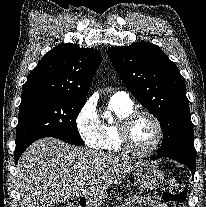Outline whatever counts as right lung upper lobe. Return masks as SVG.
<instances>
[{
	"label": "right lung upper lobe",
	"instance_id": "obj_1",
	"mask_svg": "<svg viewBox=\"0 0 206 207\" xmlns=\"http://www.w3.org/2000/svg\"><path fill=\"white\" fill-rule=\"evenodd\" d=\"M101 54L93 48L61 44L50 50L29 74L23 86L22 101L52 96L86 102Z\"/></svg>",
	"mask_w": 206,
	"mask_h": 207
}]
</instances>
